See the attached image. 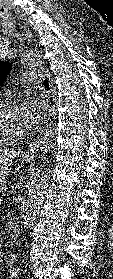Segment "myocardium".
Instances as JSON below:
<instances>
[{
	"instance_id": "obj_1",
	"label": "myocardium",
	"mask_w": 113,
	"mask_h": 279,
	"mask_svg": "<svg viewBox=\"0 0 113 279\" xmlns=\"http://www.w3.org/2000/svg\"><path fill=\"white\" fill-rule=\"evenodd\" d=\"M18 107H19L18 103L14 100H10V99L0 100V116H1L2 112L5 110L15 109ZM25 136H26V134L8 135V134L4 133L0 127V142L1 143H14V142L22 140Z\"/></svg>"
}]
</instances>
